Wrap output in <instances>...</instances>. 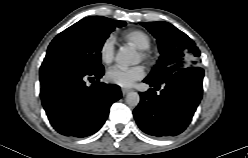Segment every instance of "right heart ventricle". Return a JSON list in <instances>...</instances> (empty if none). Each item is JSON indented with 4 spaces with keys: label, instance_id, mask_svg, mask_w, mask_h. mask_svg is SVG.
Wrapping results in <instances>:
<instances>
[{
    "label": "right heart ventricle",
    "instance_id": "1",
    "mask_svg": "<svg viewBox=\"0 0 248 158\" xmlns=\"http://www.w3.org/2000/svg\"><path fill=\"white\" fill-rule=\"evenodd\" d=\"M124 38L138 49L145 50L150 46V37L141 30H129L124 32Z\"/></svg>",
    "mask_w": 248,
    "mask_h": 158
}]
</instances>
